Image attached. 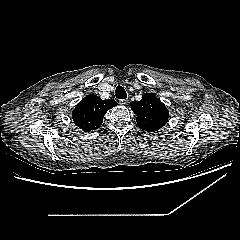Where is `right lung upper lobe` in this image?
Returning a JSON list of instances; mask_svg holds the SVG:
<instances>
[{"instance_id": "right-lung-upper-lobe-1", "label": "right lung upper lobe", "mask_w": 240, "mask_h": 240, "mask_svg": "<svg viewBox=\"0 0 240 240\" xmlns=\"http://www.w3.org/2000/svg\"><path fill=\"white\" fill-rule=\"evenodd\" d=\"M116 105L113 99L102 100L96 95H88L76 105L73 121L85 132L95 130L102 124L105 113Z\"/></svg>"}]
</instances>
